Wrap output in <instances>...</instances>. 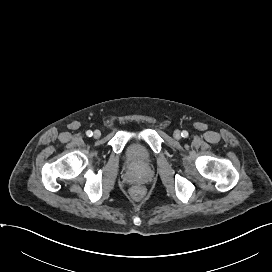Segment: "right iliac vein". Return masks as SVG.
<instances>
[{"mask_svg":"<svg viewBox=\"0 0 272 272\" xmlns=\"http://www.w3.org/2000/svg\"><path fill=\"white\" fill-rule=\"evenodd\" d=\"M100 136H101V132L99 130H95L94 133H93V137L97 139Z\"/></svg>","mask_w":272,"mask_h":272,"instance_id":"1","label":"right iliac vein"}]
</instances>
